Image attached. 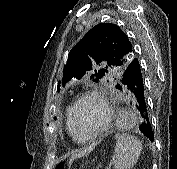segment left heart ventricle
<instances>
[{"label": "left heart ventricle", "mask_w": 177, "mask_h": 169, "mask_svg": "<svg viewBox=\"0 0 177 169\" xmlns=\"http://www.w3.org/2000/svg\"><path fill=\"white\" fill-rule=\"evenodd\" d=\"M104 111L100 103L94 98H87L81 102L76 113V127L80 136L95 132L102 124Z\"/></svg>", "instance_id": "1"}]
</instances>
